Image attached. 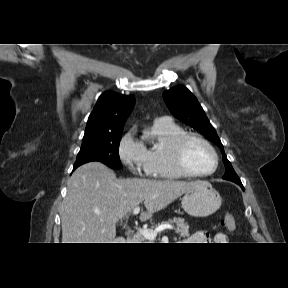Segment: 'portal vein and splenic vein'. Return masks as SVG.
Here are the masks:
<instances>
[{
    "label": "portal vein and splenic vein",
    "mask_w": 288,
    "mask_h": 288,
    "mask_svg": "<svg viewBox=\"0 0 288 288\" xmlns=\"http://www.w3.org/2000/svg\"><path fill=\"white\" fill-rule=\"evenodd\" d=\"M140 212V207L137 206L133 209V215H137ZM166 229H173V227L169 224H162L158 226L155 230L150 229H141L139 228L138 231L140 234H142L146 239L148 240H154L157 236V234L163 230Z\"/></svg>",
    "instance_id": "portal-vein-and-splenic-vein-1"
}]
</instances>
